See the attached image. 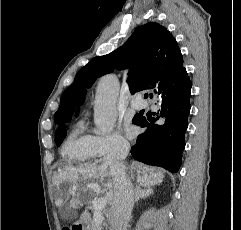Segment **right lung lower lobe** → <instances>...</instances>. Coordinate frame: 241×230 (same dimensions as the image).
Here are the masks:
<instances>
[{"label": "right lung lower lobe", "mask_w": 241, "mask_h": 230, "mask_svg": "<svg viewBox=\"0 0 241 230\" xmlns=\"http://www.w3.org/2000/svg\"><path fill=\"white\" fill-rule=\"evenodd\" d=\"M191 81L181 66L165 76L153 90L161 103L158 117L139 116L133 123L145 128L131 148L132 156L143 163L177 172L185 148L190 113ZM153 97V94L150 96ZM159 118L161 120L156 122Z\"/></svg>", "instance_id": "1"}]
</instances>
